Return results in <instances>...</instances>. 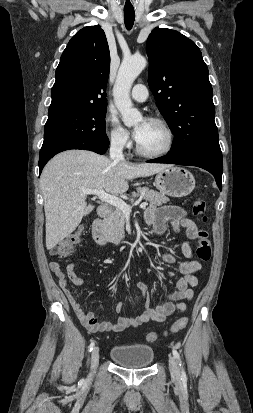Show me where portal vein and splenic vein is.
Listing matches in <instances>:
<instances>
[{
  "mask_svg": "<svg viewBox=\"0 0 253 413\" xmlns=\"http://www.w3.org/2000/svg\"><path fill=\"white\" fill-rule=\"evenodd\" d=\"M82 191L85 194L96 195L100 200L122 210L125 215H129L131 213L132 208L129 205H127L122 199L116 196L107 194L104 190H92V189L82 188ZM146 206H147L146 202H143L140 204V208H146Z\"/></svg>",
  "mask_w": 253,
  "mask_h": 413,
  "instance_id": "obj_1",
  "label": "portal vein and splenic vein"
}]
</instances>
